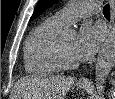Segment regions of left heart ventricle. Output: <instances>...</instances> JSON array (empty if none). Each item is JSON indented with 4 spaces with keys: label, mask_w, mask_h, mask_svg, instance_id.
<instances>
[{
    "label": "left heart ventricle",
    "mask_w": 115,
    "mask_h": 99,
    "mask_svg": "<svg viewBox=\"0 0 115 99\" xmlns=\"http://www.w3.org/2000/svg\"><path fill=\"white\" fill-rule=\"evenodd\" d=\"M75 37H69L60 42L64 54L73 61H78L75 55Z\"/></svg>",
    "instance_id": "1"
}]
</instances>
